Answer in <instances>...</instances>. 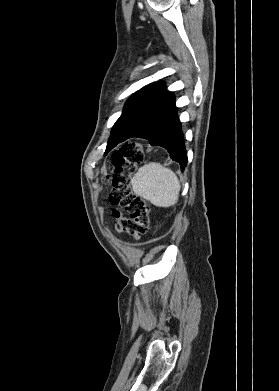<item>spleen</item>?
<instances>
[{"label":"spleen","mask_w":279,"mask_h":391,"mask_svg":"<svg viewBox=\"0 0 279 391\" xmlns=\"http://www.w3.org/2000/svg\"><path fill=\"white\" fill-rule=\"evenodd\" d=\"M133 191L157 207L173 206L179 197L177 175L160 163L151 162L140 167L131 180Z\"/></svg>","instance_id":"1"}]
</instances>
